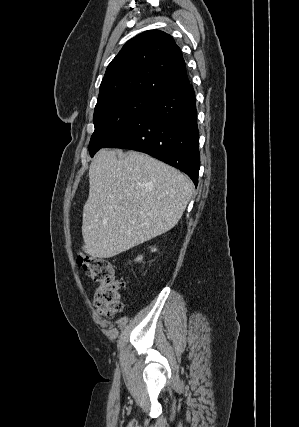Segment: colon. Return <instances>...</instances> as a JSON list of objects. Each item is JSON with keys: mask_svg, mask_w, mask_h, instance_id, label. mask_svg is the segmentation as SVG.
<instances>
[{"mask_svg": "<svg viewBox=\"0 0 299 427\" xmlns=\"http://www.w3.org/2000/svg\"><path fill=\"white\" fill-rule=\"evenodd\" d=\"M76 262L97 284L94 295L96 310L107 317L120 312L123 308V284L115 277L112 264L107 259L84 252L77 253Z\"/></svg>", "mask_w": 299, "mask_h": 427, "instance_id": "colon-1", "label": "colon"}]
</instances>
